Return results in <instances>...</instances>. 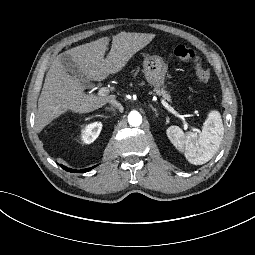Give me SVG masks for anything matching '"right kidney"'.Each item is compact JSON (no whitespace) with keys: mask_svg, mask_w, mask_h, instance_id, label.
Segmentation results:
<instances>
[{"mask_svg":"<svg viewBox=\"0 0 255 255\" xmlns=\"http://www.w3.org/2000/svg\"><path fill=\"white\" fill-rule=\"evenodd\" d=\"M102 125L100 123L91 124L84 127L82 138L85 143L93 142L100 134Z\"/></svg>","mask_w":255,"mask_h":255,"instance_id":"1","label":"right kidney"}]
</instances>
